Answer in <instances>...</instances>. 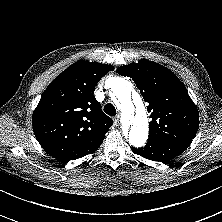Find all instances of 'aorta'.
Returning <instances> with one entry per match:
<instances>
[{
  "instance_id": "762f6f07",
  "label": "aorta",
  "mask_w": 222,
  "mask_h": 222,
  "mask_svg": "<svg viewBox=\"0 0 222 222\" xmlns=\"http://www.w3.org/2000/svg\"><path fill=\"white\" fill-rule=\"evenodd\" d=\"M112 95L122 111L123 132L129 143L135 147L145 145L148 138V119L140 98L134 105L132 85L124 78H115L111 86Z\"/></svg>"
}]
</instances>
